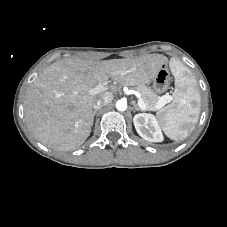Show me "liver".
Masks as SVG:
<instances>
[{
	"instance_id": "liver-1",
	"label": "liver",
	"mask_w": 227,
	"mask_h": 227,
	"mask_svg": "<svg viewBox=\"0 0 227 227\" xmlns=\"http://www.w3.org/2000/svg\"><path fill=\"white\" fill-rule=\"evenodd\" d=\"M167 61V57L160 54L103 61L59 60L46 68L26 90V125L45 146L57 151L75 150L90 135L93 105L109 93L105 88L91 95L90 89L109 78L120 86L149 83Z\"/></svg>"
}]
</instances>
